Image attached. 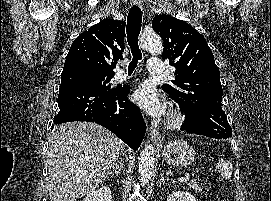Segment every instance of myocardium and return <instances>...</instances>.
<instances>
[{
    "mask_svg": "<svg viewBox=\"0 0 271 201\" xmlns=\"http://www.w3.org/2000/svg\"><path fill=\"white\" fill-rule=\"evenodd\" d=\"M187 113L181 106H174L167 120V126L170 128H178L185 124Z\"/></svg>",
    "mask_w": 271,
    "mask_h": 201,
    "instance_id": "myocardium-1",
    "label": "myocardium"
}]
</instances>
